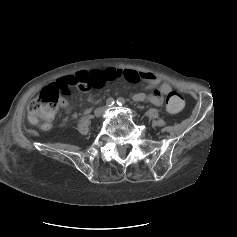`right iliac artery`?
Instances as JSON below:
<instances>
[{
    "mask_svg": "<svg viewBox=\"0 0 237 237\" xmlns=\"http://www.w3.org/2000/svg\"><path fill=\"white\" fill-rule=\"evenodd\" d=\"M114 103H115V101H114L113 98H108L107 101H106V105H107L108 107L113 106Z\"/></svg>",
    "mask_w": 237,
    "mask_h": 237,
    "instance_id": "obj_1",
    "label": "right iliac artery"
}]
</instances>
